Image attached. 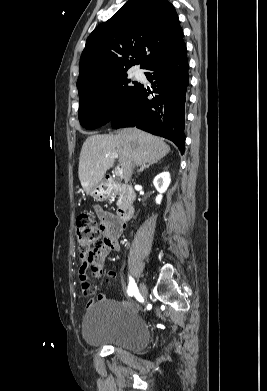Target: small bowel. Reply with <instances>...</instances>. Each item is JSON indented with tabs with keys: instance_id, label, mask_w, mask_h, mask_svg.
Masks as SVG:
<instances>
[{
	"instance_id": "1",
	"label": "small bowel",
	"mask_w": 267,
	"mask_h": 391,
	"mask_svg": "<svg viewBox=\"0 0 267 391\" xmlns=\"http://www.w3.org/2000/svg\"><path fill=\"white\" fill-rule=\"evenodd\" d=\"M94 211L103 226V244L96 254L82 256L78 269L80 285L83 289V294L88 306L92 304V300L95 294L94 288L89 281L88 272H90L95 277H100L103 275V265L105 259L111 252L119 251V238L124 230V225L119 223L111 213L103 210L98 206L94 207ZM115 277V272H109L107 274V278L109 279H113ZM97 297L99 300H105V295L102 293H99Z\"/></svg>"
}]
</instances>
